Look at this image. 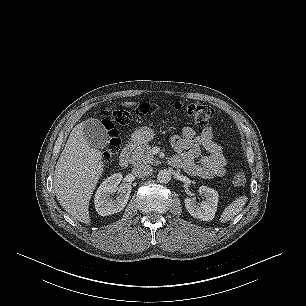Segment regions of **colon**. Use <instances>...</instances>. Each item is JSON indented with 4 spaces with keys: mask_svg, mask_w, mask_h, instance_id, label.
Masks as SVG:
<instances>
[{
    "mask_svg": "<svg viewBox=\"0 0 306 306\" xmlns=\"http://www.w3.org/2000/svg\"><path fill=\"white\" fill-rule=\"evenodd\" d=\"M175 109L184 115L189 120L197 125H205L215 119V111L212 107L197 104V103H177ZM145 113L144 108L138 109V114L143 115ZM105 119L103 125L108 134V141L102 153V159L105 163H108L113 158L120 146L119 132L115 127V123L121 125H127L131 122V114L123 108L107 109L104 112ZM246 182V176L243 171H238L234 175L233 183L236 186H242Z\"/></svg>",
    "mask_w": 306,
    "mask_h": 306,
    "instance_id": "1",
    "label": "colon"
}]
</instances>
